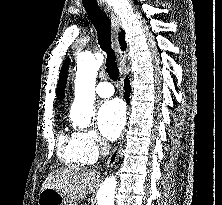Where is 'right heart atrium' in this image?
Here are the masks:
<instances>
[{"label": "right heart atrium", "mask_w": 222, "mask_h": 205, "mask_svg": "<svg viewBox=\"0 0 222 205\" xmlns=\"http://www.w3.org/2000/svg\"><path fill=\"white\" fill-rule=\"evenodd\" d=\"M75 138L88 163L95 161L105 148L104 142L94 130L78 131Z\"/></svg>", "instance_id": "right-heart-atrium-1"}]
</instances>
